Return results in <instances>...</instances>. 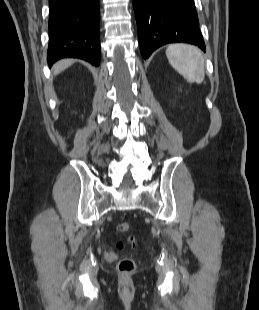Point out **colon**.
Wrapping results in <instances>:
<instances>
[{
	"instance_id": "obj_1",
	"label": "colon",
	"mask_w": 259,
	"mask_h": 310,
	"mask_svg": "<svg viewBox=\"0 0 259 310\" xmlns=\"http://www.w3.org/2000/svg\"><path fill=\"white\" fill-rule=\"evenodd\" d=\"M117 229L122 233L128 232L130 230V224L127 222H122L118 224ZM127 242L132 246H136L137 239L134 236L129 235L127 237ZM116 246L119 250H122L124 248V243L122 241H118ZM117 268L119 271L124 273L133 272L136 268V262L132 258H123L118 262Z\"/></svg>"
}]
</instances>
